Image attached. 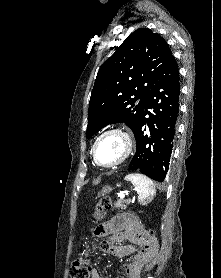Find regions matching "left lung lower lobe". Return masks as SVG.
<instances>
[{
	"label": "left lung lower lobe",
	"mask_w": 221,
	"mask_h": 278,
	"mask_svg": "<svg viewBox=\"0 0 221 278\" xmlns=\"http://www.w3.org/2000/svg\"><path fill=\"white\" fill-rule=\"evenodd\" d=\"M179 98V70L172 57L146 97L144 113L134 132L136 154L128 170H138L156 181L163 182L169 169L176 134ZM147 114L149 119L145 118ZM146 124L148 134L144 133Z\"/></svg>",
	"instance_id": "left-lung-lower-lobe-1"
}]
</instances>
